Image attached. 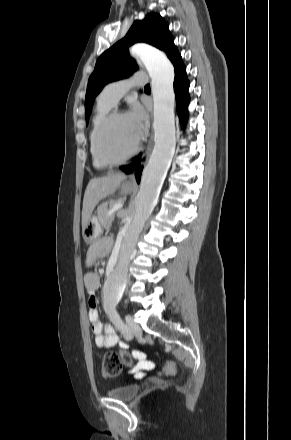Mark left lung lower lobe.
<instances>
[{
    "instance_id": "left-lung-lower-lobe-1",
    "label": "left lung lower lobe",
    "mask_w": 291,
    "mask_h": 440,
    "mask_svg": "<svg viewBox=\"0 0 291 440\" xmlns=\"http://www.w3.org/2000/svg\"><path fill=\"white\" fill-rule=\"evenodd\" d=\"M175 68V80H174V91L176 95L177 102V112L180 118V122L185 123L188 119L187 106L189 103V81L186 75V67L183 64L182 58L179 55L172 61ZM141 155L137 156L133 163L129 165L120 166V169L126 173L130 174L135 172L137 182H140V176L142 172Z\"/></svg>"
}]
</instances>
